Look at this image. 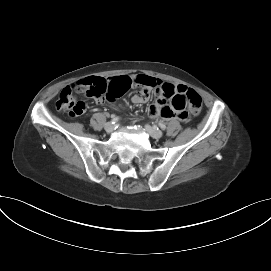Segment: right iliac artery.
Segmentation results:
<instances>
[{"instance_id": "82829eb1", "label": "right iliac artery", "mask_w": 271, "mask_h": 271, "mask_svg": "<svg viewBox=\"0 0 271 271\" xmlns=\"http://www.w3.org/2000/svg\"><path fill=\"white\" fill-rule=\"evenodd\" d=\"M118 121H119V117H112V119H111L112 124H115Z\"/></svg>"}]
</instances>
